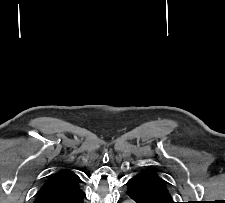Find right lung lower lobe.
I'll return each instance as SVG.
<instances>
[{
	"label": "right lung lower lobe",
	"mask_w": 225,
	"mask_h": 203,
	"mask_svg": "<svg viewBox=\"0 0 225 203\" xmlns=\"http://www.w3.org/2000/svg\"><path fill=\"white\" fill-rule=\"evenodd\" d=\"M38 198V196H37ZM86 198L85 193L82 191L80 194L73 198H62V199H56L54 201H39V203H84V199ZM38 203V202H37Z\"/></svg>",
	"instance_id": "1"
}]
</instances>
